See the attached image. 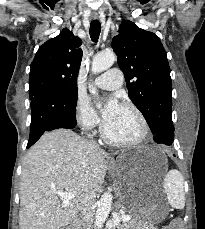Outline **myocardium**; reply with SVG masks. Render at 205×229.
Segmentation results:
<instances>
[{
	"label": "myocardium",
	"mask_w": 205,
	"mask_h": 229,
	"mask_svg": "<svg viewBox=\"0 0 205 229\" xmlns=\"http://www.w3.org/2000/svg\"><path fill=\"white\" fill-rule=\"evenodd\" d=\"M122 106L132 110L135 113V115L137 116L139 123H140L139 134L135 138L130 139V140L114 139L107 132L106 124L104 122L102 124V127H101L102 136L106 142H108L109 144L114 145V146L129 147V146L138 145L141 142H143L148 135V131H149L148 122H147L144 114L142 113V111L135 104H133L131 102H124L122 104Z\"/></svg>",
	"instance_id": "1"
}]
</instances>
